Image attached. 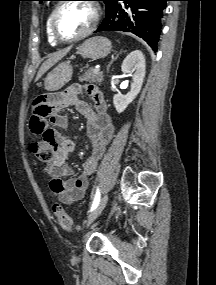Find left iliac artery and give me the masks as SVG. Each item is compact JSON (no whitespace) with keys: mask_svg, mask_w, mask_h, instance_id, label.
I'll use <instances>...</instances> for the list:
<instances>
[{"mask_svg":"<svg viewBox=\"0 0 216 285\" xmlns=\"http://www.w3.org/2000/svg\"><path fill=\"white\" fill-rule=\"evenodd\" d=\"M99 201H100V191H99V188H97V191H96V194L94 197V201H93V204L91 206V211H93L97 207V205L99 204Z\"/></svg>","mask_w":216,"mask_h":285,"instance_id":"left-iliac-artery-1","label":"left iliac artery"}]
</instances>
